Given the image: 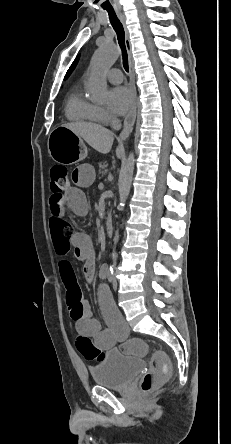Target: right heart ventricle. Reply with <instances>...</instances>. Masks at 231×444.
I'll list each match as a JSON object with an SVG mask.
<instances>
[{"instance_id":"obj_1","label":"right heart ventricle","mask_w":231,"mask_h":444,"mask_svg":"<svg viewBox=\"0 0 231 444\" xmlns=\"http://www.w3.org/2000/svg\"><path fill=\"white\" fill-rule=\"evenodd\" d=\"M65 113L67 118L72 121H97L94 105L78 90L69 95Z\"/></svg>"}]
</instances>
